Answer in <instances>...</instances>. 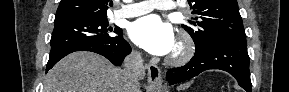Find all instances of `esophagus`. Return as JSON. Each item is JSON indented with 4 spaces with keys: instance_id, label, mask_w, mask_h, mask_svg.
Masks as SVG:
<instances>
[{
    "instance_id": "esophagus-1",
    "label": "esophagus",
    "mask_w": 289,
    "mask_h": 92,
    "mask_svg": "<svg viewBox=\"0 0 289 92\" xmlns=\"http://www.w3.org/2000/svg\"><path fill=\"white\" fill-rule=\"evenodd\" d=\"M148 70V84L151 88L158 86L161 83V71L155 64L146 65Z\"/></svg>"
}]
</instances>
